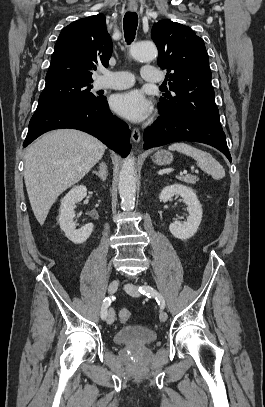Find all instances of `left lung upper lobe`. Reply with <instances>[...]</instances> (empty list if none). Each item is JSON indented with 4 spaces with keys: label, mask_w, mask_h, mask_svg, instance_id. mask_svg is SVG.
Wrapping results in <instances>:
<instances>
[{
    "label": "left lung upper lobe",
    "mask_w": 265,
    "mask_h": 407,
    "mask_svg": "<svg viewBox=\"0 0 265 407\" xmlns=\"http://www.w3.org/2000/svg\"><path fill=\"white\" fill-rule=\"evenodd\" d=\"M151 37L158 48V65L167 70L165 80L173 92L160 97V115L190 116L222 128L204 41L190 27L170 20L155 23Z\"/></svg>",
    "instance_id": "left-lung-upper-lobe-1"
}]
</instances>
